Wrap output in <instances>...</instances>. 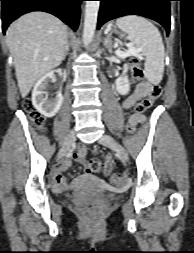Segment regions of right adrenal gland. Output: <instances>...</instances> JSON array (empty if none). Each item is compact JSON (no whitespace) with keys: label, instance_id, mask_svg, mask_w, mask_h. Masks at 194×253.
<instances>
[{"label":"right adrenal gland","instance_id":"obj_1","mask_svg":"<svg viewBox=\"0 0 194 253\" xmlns=\"http://www.w3.org/2000/svg\"><path fill=\"white\" fill-rule=\"evenodd\" d=\"M69 52V41H68V36H67V40H66V45H65V51H64V55H63V60L65 59L66 55Z\"/></svg>","mask_w":194,"mask_h":253}]
</instances>
